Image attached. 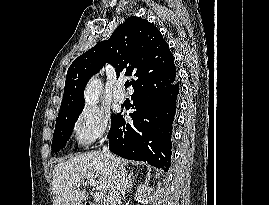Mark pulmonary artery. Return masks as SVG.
I'll list each match as a JSON object with an SVG mask.
<instances>
[{"label":"pulmonary artery","mask_w":269,"mask_h":205,"mask_svg":"<svg viewBox=\"0 0 269 205\" xmlns=\"http://www.w3.org/2000/svg\"><path fill=\"white\" fill-rule=\"evenodd\" d=\"M113 98H114V101L116 103H119V104H121L125 101L126 96H125V93L123 91V84L122 83L117 84Z\"/></svg>","instance_id":"1"}]
</instances>
